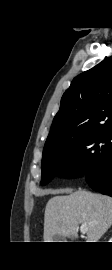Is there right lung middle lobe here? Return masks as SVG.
I'll return each instance as SVG.
<instances>
[{
  "label": "right lung middle lobe",
  "instance_id": "dd1d6c3e",
  "mask_svg": "<svg viewBox=\"0 0 112 270\" xmlns=\"http://www.w3.org/2000/svg\"><path fill=\"white\" fill-rule=\"evenodd\" d=\"M112 148V125L92 130L65 143L44 148L41 185L55 176L76 178L99 169Z\"/></svg>",
  "mask_w": 112,
  "mask_h": 270
}]
</instances>
